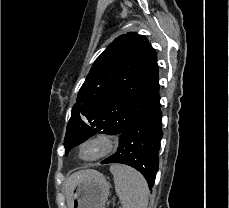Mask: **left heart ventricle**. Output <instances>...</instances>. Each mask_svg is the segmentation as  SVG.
<instances>
[{
    "label": "left heart ventricle",
    "instance_id": "left-heart-ventricle-1",
    "mask_svg": "<svg viewBox=\"0 0 229 208\" xmlns=\"http://www.w3.org/2000/svg\"><path fill=\"white\" fill-rule=\"evenodd\" d=\"M110 143H111L110 147H84L83 146L82 150H81V155H82V157L87 158V159L97 157V156L107 152L112 147L113 140Z\"/></svg>",
    "mask_w": 229,
    "mask_h": 208
}]
</instances>
